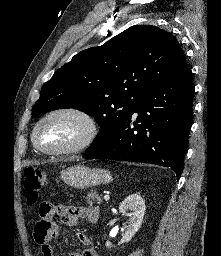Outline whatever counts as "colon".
Here are the masks:
<instances>
[{
	"mask_svg": "<svg viewBox=\"0 0 221 256\" xmlns=\"http://www.w3.org/2000/svg\"><path fill=\"white\" fill-rule=\"evenodd\" d=\"M47 185V176L41 170L28 167L25 169L24 187L26 191L27 201L30 204L37 202L41 191Z\"/></svg>",
	"mask_w": 221,
	"mask_h": 256,
	"instance_id": "colon-1",
	"label": "colon"
}]
</instances>
